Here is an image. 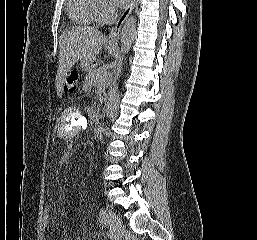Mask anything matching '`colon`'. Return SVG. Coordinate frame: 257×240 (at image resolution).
<instances>
[{"instance_id":"5ec220e1","label":"colon","mask_w":257,"mask_h":240,"mask_svg":"<svg viewBox=\"0 0 257 240\" xmlns=\"http://www.w3.org/2000/svg\"><path fill=\"white\" fill-rule=\"evenodd\" d=\"M79 84V74L76 71L69 73L65 80V89L68 92H75ZM51 207L47 204L44 206L42 214V226L44 229H47L51 220Z\"/></svg>"}]
</instances>
